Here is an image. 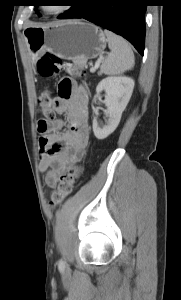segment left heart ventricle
Instances as JSON below:
<instances>
[{
	"label": "left heart ventricle",
	"mask_w": 181,
	"mask_h": 300,
	"mask_svg": "<svg viewBox=\"0 0 181 300\" xmlns=\"http://www.w3.org/2000/svg\"><path fill=\"white\" fill-rule=\"evenodd\" d=\"M60 7V5H48L46 6V9L53 11L59 9Z\"/></svg>",
	"instance_id": "1"
}]
</instances>
